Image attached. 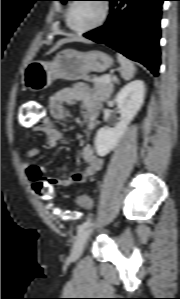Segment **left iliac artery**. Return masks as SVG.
<instances>
[{"mask_svg": "<svg viewBox=\"0 0 180 299\" xmlns=\"http://www.w3.org/2000/svg\"><path fill=\"white\" fill-rule=\"evenodd\" d=\"M91 224H92V220H88V221L84 222L83 224H81L78 228V233H80L81 231H83L84 229L89 227Z\"/></svg>", "mask_w": 180, "mask_h": 299, "instance_id": "left-iliac-artery-1", "label": "left iliac artery"}]
</instances>
